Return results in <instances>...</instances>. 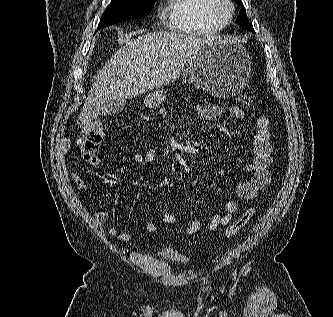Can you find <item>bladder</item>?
<instances>
[{
  "label": "bladder",
  "mask_w": 333,
  "mask_h": 317,
  "mask_svg": "<svg viewBox=\"0 0 333 317\" xmlns=\"http://www.w3.org/2000/svg\"><path fill=\"white\" fill-rule=\"evenodd\" d=\"M157 255L159 258L165 261L177 262L184 265L191 264V260L189 257L173 249H162L157 253Z\"/></svg>",
  "instance_id": "obj_1"
}]
</instances>
